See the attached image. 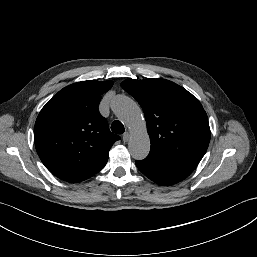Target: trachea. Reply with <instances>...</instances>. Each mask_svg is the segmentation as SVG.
<instances>
[{
    "instance_id": "trachea-1",
    "label": "trachea",
    "mask_w": 257,
    "mask_h": 257,
    "mask_svg": "<svg viewBox=\"0 0 257 257\" xmlns=\"http://www.w3.org/2000/svg\"><path fill=\"white\" fill-rule=\"evenodd\" d=\"M111 130L116 134H123L125 128L120 121H114L111 125Z\"/></svg>"
}]
</instances>
